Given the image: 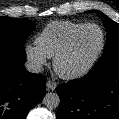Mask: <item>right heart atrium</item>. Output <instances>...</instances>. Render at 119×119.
Listing matches in <instances>:
<instances>
[{
	"mask_svg": "<svg viewBox=\"0 0 119 119\" xmlns=\"http://www.w3.org/2000/svg\"><path fill=\"white\" fill-rule=\"evenodd\" d=\"M25 53L37 69H40L47 63V56L37 46L27 45L25 47Z\"/></svg>",
	"mask_w": 119,
	"mask_h": 119,
	"instance_id": "1",
	"label": "right heart atrium"
}]
</instances>
